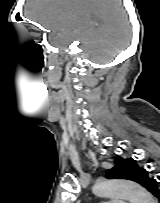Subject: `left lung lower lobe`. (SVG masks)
Wrapping results in <instances>:
<instances>
[{"label":"left lung lower lobe","instance_id":"0a47b994","mask_svg":"<svg viewBox=\"0 0 160 203\" xmlns=\"http://www.w3.org/2000/svg\"><path fill=\"white\" fill-rule=\"evenodd\" d=\"M160 178L153 179L148 186L147 190L155 197L158 201H160Z\"/></svg>","mask_w":160,"mask_h":203}]
</instances>
